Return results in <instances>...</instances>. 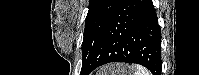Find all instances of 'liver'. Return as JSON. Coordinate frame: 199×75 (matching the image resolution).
<instances>
[{
	"label": "liver",
	"instance_id": "obj_1",
	"mask_svg": "<svg viewBox=\"0 0 199 75\" xmlns=\"http://www.w3.org/2000/svg\"><path fill=\"white\" fill-rule=\"evenodd\" d=\"M111 66H112V65H111ZM111 70H112V73L115 71V69H113V68H112ZM102 73H103V72H102ZM105 73H106V72H104V74H105ZM99 74H101V73H99Z\"/></svg>",
	"mask_w": 199,
	"mask_h": 75
}]
</instances>
